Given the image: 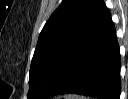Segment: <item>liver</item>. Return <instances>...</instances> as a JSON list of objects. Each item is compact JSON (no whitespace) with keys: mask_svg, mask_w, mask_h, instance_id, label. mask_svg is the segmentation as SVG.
Instances as JSON below:
<instances>
[{"mask_svg":"<svg viewBox=\"0 0 128 99\" xmlns=\"http://www.w3.org/2000/svg\"><path fill=\"white\" fill-rule=\"evenodd\" d=\"M65 98H67V99H83L82 97H78V96H75V95H68Z\"/></svg>","mask_w":128,"mask_h":99,"instance_id":"1","label":"liver"}]
</instances>
